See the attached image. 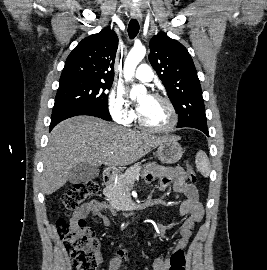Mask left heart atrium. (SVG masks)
I'll return each instance as SVG.
<instances>
[{"mask_svg":"<svg viewBox=\"0 0 267 270\" xmlns=\"http://www.w3.org/2000/svg\"><path fill=\"white\" fill-rule=\"evenodd\" d=\"M148 98H151V96H148ZM143 108H144V104H142V103H140V104L137 106V110H138L139 112H141V111L143 110Z\"/></svg>","mask_w":267,"mask_h":270,"instance_id":"obj_1","label":"left heart atrium"}]
</instances>
